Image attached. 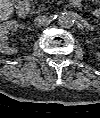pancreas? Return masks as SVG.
Returning <instances> with one entry per match:
<instances>
[{
	"mask_svg": "<svg viewBox=\"0 0 100 118\" xmlns=\"http://www.w3.org/2000/svg\"><path fill=\"white\" fill-rule=\"evenodd\" d=\"M44 8V4H41V6H39V11L42 10Z\"/></svg>",
	"mask_w": 100,
	"mask_h": 118,
	"instance_id": "pancreas-1",
	"label": "pancreas"
}]
</instances>
